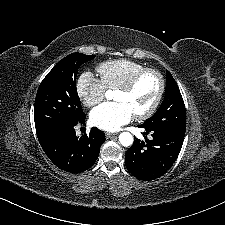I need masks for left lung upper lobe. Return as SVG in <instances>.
<instances>
[{
  "label": "left lung upper lobe",
  "mask_w": 225,
  "mask_h": 225,
  "mask_svg": "<svg viewBox=\"0 0 225 225\" xmlns=\"http://www.w3.org/2000/svg\"><path fill=\"white\" fill-rule=\"evenodd\" d=\"M167 85L165 97L157 112L147 119L144 125L163 128L171 127L185 132L186 110L183 98L173 76L167 70Z\"/></svg>",
  "instance_id": "left-lung-upper-lobe-1"
}]
</instances>
